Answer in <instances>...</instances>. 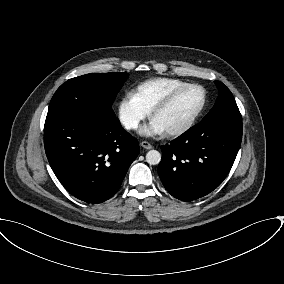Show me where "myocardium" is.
Returning <instances> with one entry per match:
<instances>
[{
  "mask_svg": "<svg viewBox=\"0 0 284 284\" xmlns=\"http://www.w3.org/2000/svg\"><path fill=\"white\" fill-rule=\"evenodd\" d=\"M189 88H199L201 89L203 93V98L200 106L198 109L194 112V114L183 124L180 126H177L175 128L169 129L167 131H164V134L166 136H179L184 133H186L188 130H190L193 125L196 123L202 112L204 111L206 104H207V98L208 94L204 86L197 84V83H187L175 90H173L170 94H168L163 100H161L152 110H151V119L153 120L154 117L162 112L163 110L167 109L174 101L175 99L185 90Z\"/></svg>",
  "mask_w": 284,
  "mask_h": 284,
  "instance_id": "f54148a6",
  "label": "myocardium"
}]
</instances>
